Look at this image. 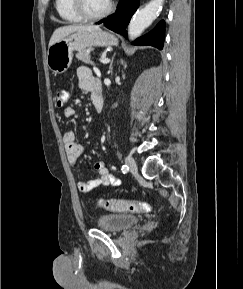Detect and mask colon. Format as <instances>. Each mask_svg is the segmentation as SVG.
Instances as JSON below:
<instances>
[{"label":"colon","instance_id":"5ec220e1","mask_svg":"<svg viewBox=\"0 0 243 289\" xmlns=\"http://www.w3.org/2000/svg\"><path fill=\"white\" fill-rule=\"evenodd\" d=\"M68 99V92L60 89L56 92L55 103L58 107H63ZM100 207L115 212L127 213H148L151 206L143 201H129L121 199H102L99 201Z\"/></svg>","mask_w":243,"mask_h":289}]
</instances>
